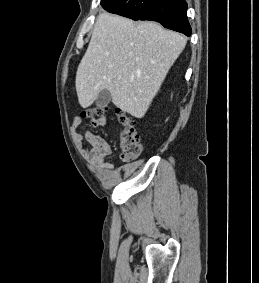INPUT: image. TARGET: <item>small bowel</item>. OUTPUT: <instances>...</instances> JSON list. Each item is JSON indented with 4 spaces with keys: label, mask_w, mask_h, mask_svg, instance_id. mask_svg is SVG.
Instances as JSON below:
<instances>
[{
    "label": "small bowel",
    "mask_w": 259,
    "mask_h": 283,
    "mask_svg": "<svg viewBox=\"0 0 259 283\" xmlns=\"http://www.w3.org/2000/svg\"><path fill=\"white\" fill-rule=\"evenodd\" d=\"M108 120L109 118L106 116L100 118H93L91 120V124L94 127H99L105 125ZM81 124L82 118L79 116L74 117L72 123L73 128L77 129L80 127ZM78 137L80 136L78 135ZM84 139L89 146L86 151L87 159L91 163L99 166L104 171L111 172L113 170V166L106 160L111 152L109 142L105 138L90 131L85 132Z\"/></svg>",
    "instance_id": "small-bowel-1"
}]
</instances>
